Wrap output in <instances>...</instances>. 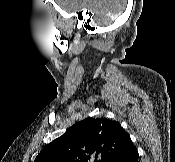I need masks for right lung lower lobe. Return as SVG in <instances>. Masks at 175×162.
<instances>
[{
    "mask_svg": "<svg viewBox=\"0 0 175 162\" xmlns=\"http://www.w3.org/2000/svg\"><path fill=\"white\" fill-rule=\"evenodd\" d=\"M111 162H138V152L134 146L116 156Z\"/></svg>",
    "mask_w": 175,
    "mask_h": 162,
    "instance_id": "right-lung-lower-lobe-1",
    "label": "right lung lower lobe"
}]
</instances>
